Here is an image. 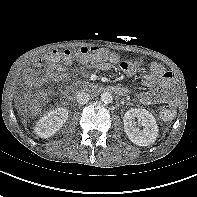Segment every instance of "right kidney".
Listing matches in <instances>:
<instances>
[{
  "label": "right kidney",
  "mask_w": 197,
  "mask_h": 197,
  "mask_svg": "<svg viewBox=\"0 0 197 197\" xmlns=\"http://www.w3.org/2000/svg\"><path fill=\"white\" fill-rule=\"evenodd\" d=\"M67 119L68 110L66 108L52 109L36 123L34 131L41 138H49L63 126Z\"/></svg>",
  "instance_id": "1"
}]
</instances>
